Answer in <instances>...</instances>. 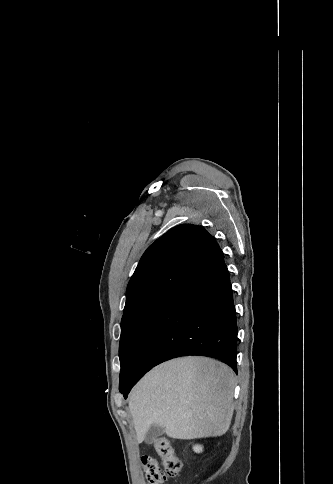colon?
Returning <instances> with one entry per match:
<instances>
[{"mask_svg":"<svg viewBox=\"0 0 333 484\" xmlns=\"http://www.w3.org/2000/svg\"><path fill=\"white\" fill-rule=\"evenodd\" d=\"M153 445L161 462L150 456L144 457L142 463L145 476L149 484H163L180 473L182 462L165 437L156 438Z\"/></svg>","mask_w":333,"mask_h":484,"instance_id":"5ec220e1","label":"colon"}]
</instances>
